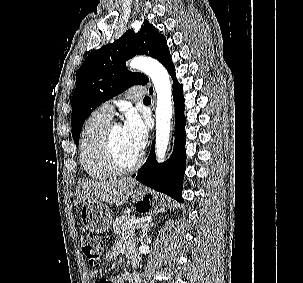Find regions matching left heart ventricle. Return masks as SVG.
Instances as JSON below:
<instances>
[{"label": "left heart ventricle", "mask_w": 303, "mask_h": 283, "mask_svg": "<svg viewBox=\"0 0 303 283\" xmlns=\"http://www.w3.org/2000/svg\"><path fill=\"white\" fill-rule=\"evenodd\" d=\"M113 145L116 157L122 165H130L137 158L139 152H137L129 143L124 135L121 126H117L113 130Z\"/></svg>", "instance_id": "1"}]
</instances>
